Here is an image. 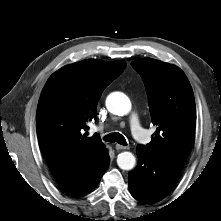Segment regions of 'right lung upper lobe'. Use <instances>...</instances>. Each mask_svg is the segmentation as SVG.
I'll list each match as a JSON object with an SVG mask.
<instances>
[{
	"label": "right lung upper lobe",
	"mask_w": 221,
	"mask_h": 221,
	"mask_svg": "<svg viewBox=\"0 0 221 221\" xmlns=\"http://www.w3.org/2000/svg\"><path fill=\"white\" fill-rule=\"evenodd\" d=\"M124 61L85 60L50 76L37 107V135L58 184L70 187L98 171L109 158L99 135L86 137L99 98L125 69Z\"/></svg>",
	"instance_id": "obj_1"
}]
</instances>
